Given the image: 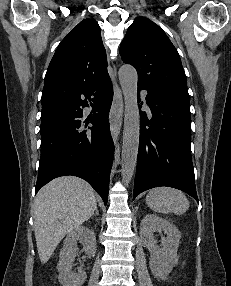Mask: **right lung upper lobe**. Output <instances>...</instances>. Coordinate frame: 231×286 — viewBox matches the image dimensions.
I'll use <instances>...</instances> for the list:
<instances>
[{
  "label": "right lung upper lobe",
  "instance_id": "obj_1",
  "mask_svg": "<svg viewBox=\"0 0 231 286\" xmlns=\"http://www.w3.org/2000/svg\"><path fill=\"white\" fill-rule=\"evenodd\" d=\"M107 79L100 27L94 19L83 20L61 41L49 64L42 109L60 107L81 90Z\"/></svg>",
  "mask_w": 231,
  "mask_h": 286
}]
</instances>
